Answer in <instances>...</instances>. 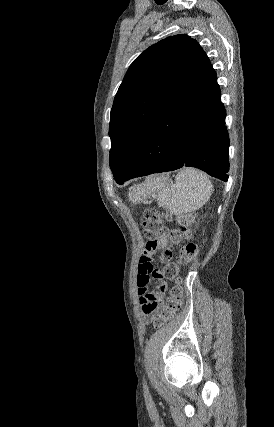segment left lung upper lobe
Returning a JSON list of instances; mask_svg holds the SVG:
<instances>
[{
  "label": "left lung upper lobe",
  "mask_w": 274,
  "mask_h": 427,
  "mask_svg": "<svg viewBox=\"0 0 274 427\" xmlns=\"http://www.w3.org/2000/svg\"><path fill=\"white\" fill-rule=\"evenodd\" d=\"M199 43L175 35L147 48L129 67L110 114V167L126 174L157 119L207 62Z\"/></svg>",
  "instance_id": "1"
}]
</instances>
